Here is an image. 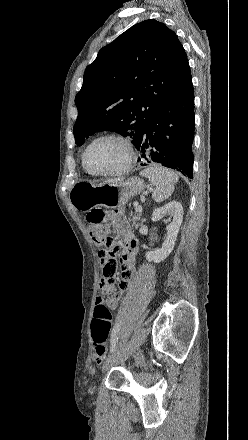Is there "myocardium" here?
I'll return each mask as SVG.
<instances>
[{"instance_id": "1", "label": "myocardium", "mask_w": 248, "mask_h": 440, "mask_svg": "<svg viewBox=\"0 0 248 440\" xmlns=\"http://www.w3.org/2000/svg\"><path fill=\"white\" fill-rule=\"evenodd\" d=\"M105 139H114V140H118L120 141L126 148L127 150V157H126V161L124 163V165L117 169V170H113V171H108V172H94L92 171L88 164H87V155L88 152L90 150V148L97 142L101 141V140H105ZM135 160V152H134V148L133 145L131 143V141L129 140V138H127L126 136L119 134V133H105L102 135L97 136L96 138H94L85 148L83 155H82V163H83V167L84 169L93 176H97V177H115V176H120L123 175L125 173H127L132 165L133 162Z\"/></svg>"}]
</instances>
